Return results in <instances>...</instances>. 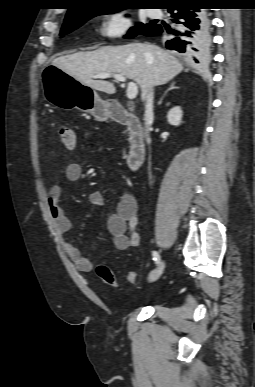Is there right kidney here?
<instances>
[{"label": "right kidney", "mask_w": 255, "mask_h": 387, "mask_svg": "<svg viewBox=\"0 0 255 387\" xmlns=\"http://www.w3.org/2000/svg\"><path fill=\"white\" fill-rule=\"evenodd\" d=\"M182 119V110L180 107L176 106L169 110L167 114V121L169 124L178 126L181 123Z\"/></svg>", "instance_id": "ca27d5eb"}]
</instances>
